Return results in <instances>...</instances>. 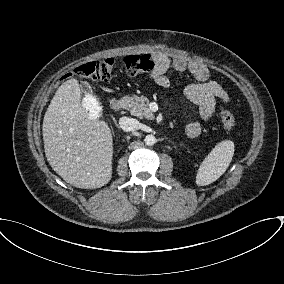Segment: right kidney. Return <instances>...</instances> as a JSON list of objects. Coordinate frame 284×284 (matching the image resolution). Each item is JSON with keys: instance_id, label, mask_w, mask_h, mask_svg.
I'll list each match as a JSON object with an SVG mask.
<instances>
[{"instance_id": "1", "label": "right kidney", "mask_w": 284, "mask_h": 284, "mask_svg": "<svg viewBox=\"0 0 284 284\" xmlns=\"http://www.w3.org/2000/svg\"><path fill=\"white\" fill-rule=\"evenodd\" d=\"M83 107L88 112L90 117L96 118V113H95L96 101L91 95H86L83 101Z\"/></svg>"}]
</instances>
